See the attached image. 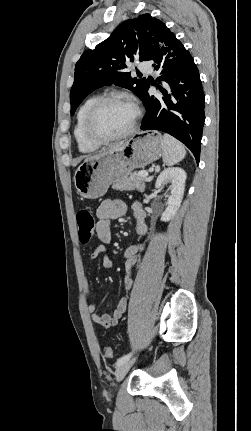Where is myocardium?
<instances>
[{"label": "myocardium", "instance_id": "f54148a6", "mask_svg": "<svg viewBox=\"0 0 251 431\" xmlns=\"http://www.w3.org/2000/svg\"><path fill=\"white\" fill-rule=\"evenodd\" d=\"M111 101H125L130 103L135 110L134 120L131 126L126 131L118 135L101 136L94 131L93 122L101 107ZM141 117H142L141 108L138 105V103L134 101L132 98L120 93H108L99 97L87 111L84 119V133L89 141L99 145L118 141V140L127 138L128 136L132 135L136 131Z\"/></svg>", "mask_w": 251, "mask_h": 431}]
</instances>
